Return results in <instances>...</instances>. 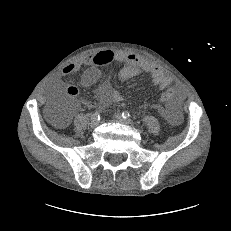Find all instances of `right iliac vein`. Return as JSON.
Returning a JSON list of instances; mask_svg holds the SVG:
<instances>
[{"label":"right iliac vein","instance_id":"63e3f726","mask_svg":"<svg viewBox=\"0 0 231 231\" xmlns=\"http://www.w3.org/2000/svg\"><path fill=\"white\" fill-rule=\"evenodd\" d=\"M98 124H99L98 120H92V121L90 122V127H91V128H95V127L98 126Z\"/></svg>","mask_w":231,"mask_h":231}]
</instances>
